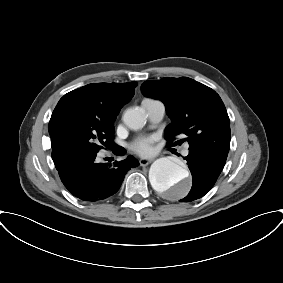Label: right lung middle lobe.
Wrapping results in <instances>:
<instances>
[{"label":"right lung middle lobe","mask_w":283,"mask_h":283,"mask_svg":"<svg viewBox=\"0 0 283 283\" xmlns=\"http://www.w3.org/2000/svg\"><path fill=\"white\" fill-rule=\"evenodd\" d=\"M52 158L62 162L84 150L99 152L112 149L114 127L73 105H66L52 114L49 122Z\"/></svg>","instance_id":"obj_1"}]
</instances>
